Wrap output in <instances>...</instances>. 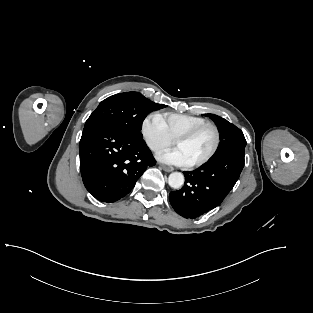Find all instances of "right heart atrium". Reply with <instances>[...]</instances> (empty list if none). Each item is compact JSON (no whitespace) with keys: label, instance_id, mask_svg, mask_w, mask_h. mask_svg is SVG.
I'll list each match as a JSON object with an SVG mask.
<instances>
[{"label":"right heart atrium","instance_id":"d8ad5b80","mask_svg":"<svg viewBox=\"0 0 313 313\" xmlns=\"http://www.w3.org/2000/svg\"><path fill=\"white\" fill-rule=\"evenodd\" d=\"M141 133L146 145L154 153L168 148L173 142L160 114L157 113L150 114L143 120Z\"/></svg>","mask_w":313,"mask_h":313}]
</instances>
